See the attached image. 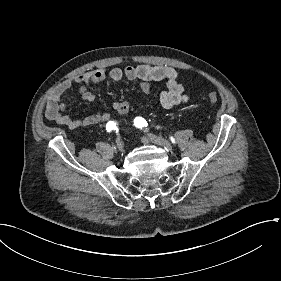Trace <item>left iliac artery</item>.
I'll return each mask as SVG.
<instances>
[{"mask_svg":"<svg viewBox=\"0 0 281 281\" xmlns=\"http://www.w3.org/2000/svg\"><path fill=\"white\" fill-rule=\"evenodd\" d=\"M134 125L138 128H144L147 126V122L144 118L142 117H136L134 119ZM171 141L174 142V139L171 137Z\"/></svg>","mask_w":281,"mask_h":281,"instance_id":"obj_1","label":"left iliac artery"}]
</instances>
